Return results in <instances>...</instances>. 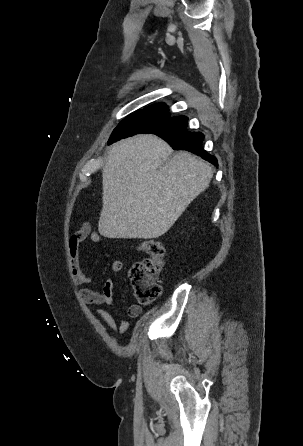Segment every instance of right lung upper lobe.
I'll return each mask as SVG.
<instances>
[{
	"label": "right lung upper lobe",
	"mask_w": 303,
	"mask_h": 446,
	"mask_svg": "<svg viewBox=\"0 0 303 446\" xmlns=\"http://www.w3.org/2000/svg\"><path fill=\"white\" fill-rule=\"evenodd\" d=\"M166 105L164 103H158V104H154V105H150L145 109L148 110H160L163 109Z\"/></svg>",
	"instance_id": "cb5924a9"
}]
</instances>
